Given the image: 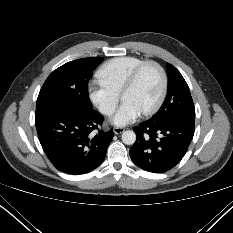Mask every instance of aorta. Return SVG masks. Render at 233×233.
<instances>
[{
    "label": "aorta",
    "instance_id": "obj_1",
    "mask_svg": "<svg viewBox=\"0 0 233 233\" xmlns=\"http://www.w3.org/2000/svg\"><path fill=\"white\" fill-rule=\"evenodd\" d=\"M122 141L126 145H132L136 141V134L131 130H126L122 133Z\"/></svg>",
    "mask_w": 233,
    "mask_h": 233
}]
</instances>
